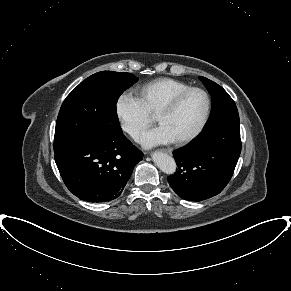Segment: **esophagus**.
Instances as JSON below:
<instances>
[{"mask_svg": "<svg viewBox=\"0 0 291 291\" xmlns=\"http://www.w3.org/2000/svg\"><path fill=\"white\" fill-rule=\"evenodd\" d=\"M161 151H162V152H165V153H168V154H171V153H172V151L169 150V149H161Z\"/></svg>", "mask_w": 291, "mask_h": 291, "instance_id": "1", "label": "esophagus"}]
</instances>
